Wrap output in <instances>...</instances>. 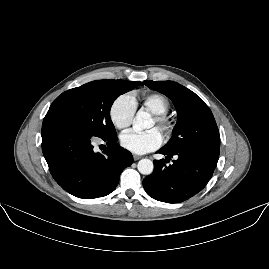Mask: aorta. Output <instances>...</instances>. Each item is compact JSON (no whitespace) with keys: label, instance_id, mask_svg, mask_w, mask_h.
<instances>
[{"label":"aorta","instance_id":"1","mask_svg":"<svg viewBox=\"0 0 269 269\" xmlns=\"http://www.w3.org/2000/svg\"><path fill=\"white\" fill-rule=\"evenodd\" d=\"M153 127V121L151 119L150 113L139 110L133 121V129L136 132L143 131ZM138 171L143 175H149L154 170L153 162L150 159H141L137 164Z\"/></svg>","mask_w":269,"mask_h":269}]
</instances>
